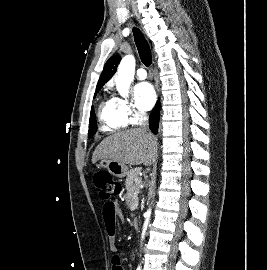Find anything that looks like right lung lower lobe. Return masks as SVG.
I'll list each match as a JSON object with an SVG mask.
<instances>
[{
  "instance_id": "1",
  "label": "right lung lower lobe",
  "mask_w": 267,
  "mask_h": 270,
  "mask_svg": "<svg viewBox=\"0 0 267 270\" xmlns=\"http://www.w3.org/2000/svg\"><path fill=\"white\" fill-rule=\"evenodd\" d=\"M160 102L158 101L149 117V127L154 134L158 132Z\"/></svg>"
}]
</instances>
